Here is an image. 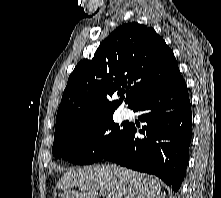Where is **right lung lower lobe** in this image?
Wrapping results in <instances>:
<instances>
[{
    "label": "right lung lower lobe",
    "instance_id": "right-lung-lower-lobe-1",
    "mask_svg": "<svg viewBox=\"0 0 221 198\" xmlns=\"http://www.w3.org/2000/svg\"><path fill=\"white\" fill-rule=\"evenodd\" d=\"M134 111L147 126L129 124L121 142L101 160L154 174L178 191L186 174L191 142L192 113L180 72L150 93ZM145 135L136 138V133Z\"/></svg>",
    "mask_w": 221,
    "mask_h": 198
}]
</instances>
